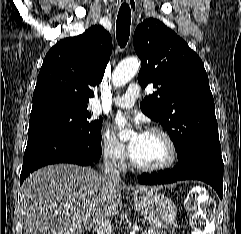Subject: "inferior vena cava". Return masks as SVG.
<instances>
[{"label": "inferior vena cava", "mask_w": 241, "mask_h": 234, "mask_svg": "<svg viewBox=\"0 0 241 234\" xmlns=\"http://www.w3.org/2000/svg\"><path fill=\"white\" fill-rule=\"evenodd\" d=\"M104 175L115 182L120 181L119 171L117 170L116 159L111 150L104 154ZM95 234H114L112 224L108 217L100 218L94 227Z\"/></svg>", "instance_id": "obj_1"}]
</instances>
